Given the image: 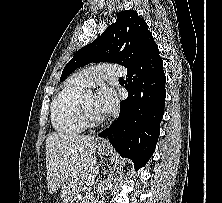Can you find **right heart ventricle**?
<instances>
[{
	"label": "right heart ventricle",
	"mask_w": 222,
	"mask_h": 203,
	"mask_svg": "<svg viewBox=\"0 0 222 203\" xmlns=\"http://www.w3.org/2000/svg\"><path fill=\"white\" fill-rule=\"evenodd\" d=\"M84 89L85 87L70 78L54 98L51 106V120L58 133L76 135L86 128L79 112V102Z\"/></svg>",
	"instance_id": "right-heart-ventricle-1"
}]
</instances>
